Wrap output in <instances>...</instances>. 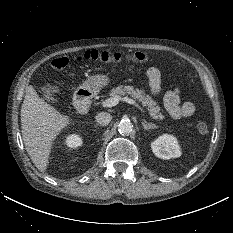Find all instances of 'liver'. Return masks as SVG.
<instances>
[{"label":"liver","instance_id":"liver-1","mask_svg":"<svg viewBox=\"0 0 233 233\" xmlns=\"http://www.w3.org/2000/svg\"><path fill=\"white\" fill-rule=\"evenodd\" d=\"M70 122L69 116L40 98L33 86L27 87L21 108L22 138L28 155L41 172L47 169L54 139Z\"/></svg>","mask_w":233,"mask_h":233}]
</instances>
